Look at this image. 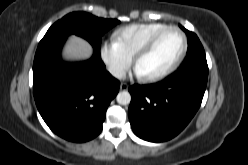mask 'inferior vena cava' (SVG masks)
Wrapping results in <instances>:
<instances>
[{"label":"inferior vena cava","instance_id":"inferior-vena-cava-1","mask_svg":"<svg viewBox=\"0 0 248 165\" xmlns=\"http://www.w3.org/2000/svg\"><path fill=\"white\" fill-rule=\"evenodd\" d=\"M109 72L114 76V77H117V78H123L125 77L126 75V72L123 68L121 67H117V66H111L109 67Z\"/></svg>","mask_w":248,"mask_h":165}]
</instances>
